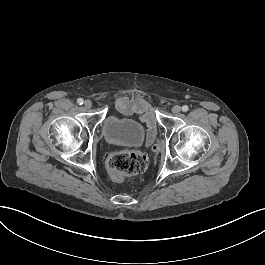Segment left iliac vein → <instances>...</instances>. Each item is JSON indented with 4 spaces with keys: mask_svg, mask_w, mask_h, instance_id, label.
Segmentation results:
<instances>
[{
    "mask_svg": "<svg viewBox=\"0 0 265 265\" xmlns=\"http://www.w3.org/2000/svg\"><path fill=\"white\" fill-rule=\"evenodd\" d=\"M180 111H181V107H180V106L175 105V106L172 107V112H173L174 114H177V113H179Z\"/></svg>",
    "mask_w": 265,
    "mask_h": 265,
    "instance_id": "1",
    "label": "left iliac vein"
}]
</instances>
